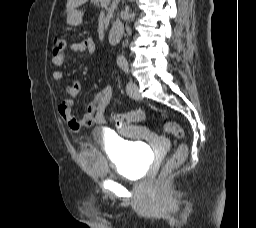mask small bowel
<instances>
[{
  "mask_svg": "<svg viewBox=\"0 0 256 228\" xmlns=\"http://www.w3.org/2000/svg\"><path fill=\"white\" fill-rule=\"evenodd\" d=\"M69 50L75 53L91 54L95 51V43L91 37H86L78 42L70 45ZM66 59V52L63 50L58 54H53L52 63L55 67L60 68ZM63 79L60 70L52 73V82L54 84ZM81 90L79 80H73L67 87L68 97L63 98L58 105V113L67 123L72 131H79L81 128L91 127L93 125L103 124L106 122L104 116V108L112 97L113 87L110 84L104 85L94 96L93 100L87 107L86 112L77 117L72 114L73 98L78 95Z\"/></svg>",
  "mask_w": 256,
  "mask_h": 228,
  "instance_id": "1",
  "label": "small bowel"
}]
</instances>
